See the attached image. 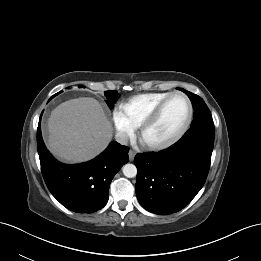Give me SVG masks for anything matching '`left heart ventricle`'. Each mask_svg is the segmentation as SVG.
Wrapping results in <instances>:
<instances>
[{"instance_id":"b2bd125f","label":"left heart ventricle","mask_w":261,"mask_h":261,"mask_svg":"<svg viewBox=\"0 0 261 261\" xmlns=\"http://www.w3.org/2000/svg\"><path fill=\"white\" fill-rule=\"evenodd\" d=\"M187 104L181 96L172 97L164 106L156 122L146 131L147 141H161L173 136L184 124Z\"/></svg>"}]
</instances>
